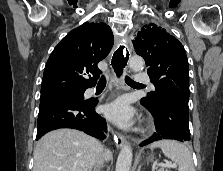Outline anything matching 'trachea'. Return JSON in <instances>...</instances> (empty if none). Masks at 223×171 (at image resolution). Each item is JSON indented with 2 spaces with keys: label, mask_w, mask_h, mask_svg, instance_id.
Here are the masks:
<instances>
[{
  "label": "trachea",
  "mask_w": 223,
  "mask_h": 171,
  "mask_svg": "<svg viewBox=\"0 0 223 171\" xmlns=\"http://www.w3.org/2000/svg\"><path fill=\"white\" fill-rule=\"evenodd\" d=\"M112 60H113V58H112ZM125 81H126L127 84H139V83H136L135 81H133L128 76L125 77ZM99 84H106V78L104 76L101 77V79L99 81Z\"/></svg>",
  "instance_id": "3493384b"
}]
</instances>
